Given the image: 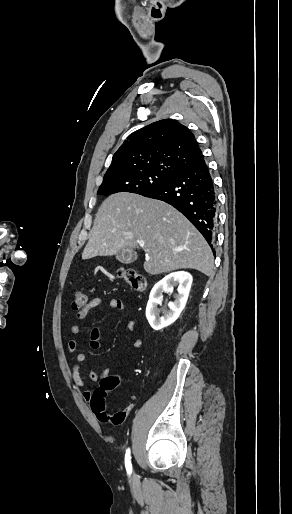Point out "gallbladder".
<instances>
[{
    "instance_id": "gallbladder-1",
    "label": "gallbladder",
    "mask_w": 292,
    "mask_h": 514,
    "mask_svg": "<svg viewBox=\"0 0 292 514\" xmlns=\"http://www.w3.org/2000/svg\"><path fill=\"white\" fill-rule=\"evenodd\" d=\"M116 258H117V260H120V262H121V260H122V254H121V252H119V254H117ZM133 260H137V256H136V254H134V256H133Z\"/></svg>"
}]
</instances>
